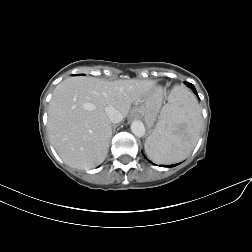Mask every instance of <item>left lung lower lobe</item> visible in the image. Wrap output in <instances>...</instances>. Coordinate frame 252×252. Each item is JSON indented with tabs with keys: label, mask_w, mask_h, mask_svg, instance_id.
Returning <instances> with one entry per match:
<instances>
[{
	"label": "left lung lower lobe",
	"mask_w": 252,
	"mask_h": 252,
	"mask_svg": "<svg viewBox=\"0 0 252 252\" xmlns=\"http://www.w3.org/2000/svg\"><path fill=\"white\" fill-rule=\"evenodd\" d=\"M185 84H186L188 87H190V88L194 91V93L198 96L197 91H196V89H195V87H194L193 84L188 83V82H185ZM148 161H149V160H148ZM149 162L152 163L151 161H149ZM176 165H178V164H175V165H168V166H166V165H161V166H162V167H173V166H176Z\"/></svg>",
	"instance_id": "1"
}]
</instances>
